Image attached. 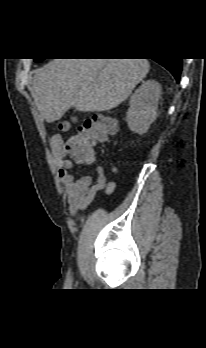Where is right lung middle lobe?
Masks as SVG:
<instances>
[{
    "instance_id": "1",
    "label": "right lung middle lobe",
    "mask_w": 206,
    "mask_h": 348,
    "mask_svg": "<svg viewBox=\"0 0 206 348\" xmlns=\"http://www.w3.org/2000/svg\"><path fill=\"white\" fill-rule=\"evenodd\" d=\"M36 62H39V61H41V60H43V59H34Z\"/></svg>"
}]
</instances>
